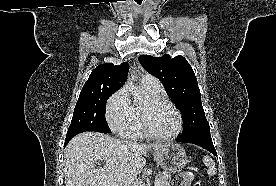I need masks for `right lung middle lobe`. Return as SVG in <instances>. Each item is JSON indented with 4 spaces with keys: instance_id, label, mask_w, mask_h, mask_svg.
Instances as JSON below:
<instances>
[{
    "instance_id": "1",
    "label": "right lung middle lobe",
    "mask_w": 276,
    "mask_h": 186,
    "mask_svg": "<svg viewBox=\"0 0 276 186\" xmlns=\"http://www.w3.org/2000/svg\"><path fill=\"white\" fill-rule=\"evenodd\" d=\"M114 90L81 91L74 109L67 134L85 130H101L111 133L105 119V106Z\"/></svg>"
}]
</instances>
